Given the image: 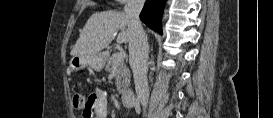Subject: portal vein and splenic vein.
I'll return each instance as SVG.
<instances>
[{"label": "portal vein and splenic vein", "mask_w": 273, "mask_h": 118, "mask_svg": "<svg viewBox=\"0 0 273 118\" xmlns=\"http://www.w3.org/2000/svg\"><path fill=\"white\" fill-rule=\"evenodd\" d=\"M117 56H118L119 58H121V59H124V58L126 57V54H125V52L120 51V52L117 53Z\"/></svg>", "instance_id": "portal-vein-and-splenic-vein-1"}]
</instances>
